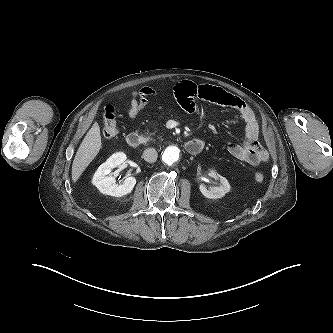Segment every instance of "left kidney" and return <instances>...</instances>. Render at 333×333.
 <instances>
[{"mask_svg":"<svg viewBox=\"0 0 333 333\" xmlns=\"http://www.w3.org/2000/svg\"><path fill=\"white\" fill-rule=\"evenodd\" d=\"M210 176L218 178L220 180V186L211 187L207 189L204 184H201L199 189L201 193L209 199L222 198L230 190V184L225 177L219 175L215 170H210Z\"/></svg>","mask_w":333,"mask_h":333,"instance_id":"left-kidney-1","label":"left kidney"}]
</instances>
